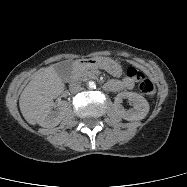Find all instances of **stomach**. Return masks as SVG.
I'll return each mask as SVG.
<instances>
[{
    "mask_svg": "<svg viewBox=\"0 0 187 187\" xmlns=\"http://www.w3.org/2000/svg\"><path fill=\"white\" fill-rule=\"evenodd\" d=\"M91 63L115 77H119L122 74L121 65L111 58L95 57L91 59Z\"/></svg>",
    "mask_w": 187,
    "mask_h": 187,
    "instance_id": "stomach-1",
    "label": "stomach"
}]
</instances>
